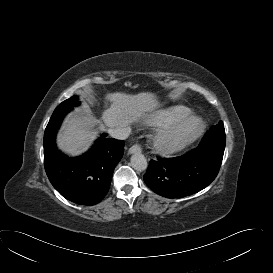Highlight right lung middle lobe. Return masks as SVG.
Instances as JSON below:
<instances>
[{
    "label": "right lung middle lobe",
    "mask_w": 273,
    "mask_h": 273,
    "mask_svg": "<svg viewBox=\"0 0 273 273\" xmlns=\"http://www.w3.org/2000/svg\"><path fill=\"white\" fill-rule=\"evenodd\" d=\"M78 97L73 95L69 99L63 101L56 109L59 110H71L73 106L79 105Z\"/></svg>",
    "instance_id": "dd1d6c3e"
}]
</instances>
